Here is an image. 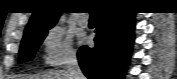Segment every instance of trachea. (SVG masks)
<instances>
[{
  "label": "trachea",
  "mask_w": 177,
  "mask_h": 79,
  "mask_svg": "<svg viewBox=\"0 0 177 79\" xmlns=\"http://www.w3.org/2000/svg\"><path fill=\"white\" fill-rule=\"evenodd\" d=\"M90 18H96V14L95 13H91L90 14Z\"/></svg>",
  "instance_id": "trachea-1"
}]
</instances>
